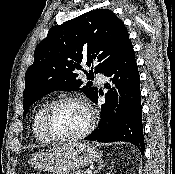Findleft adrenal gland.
I'll return each mask as SVG.
<instances>
[{"label": "left adrenal gland", "mask_w": 175, "mask_h": 174, "mask_svg": "<svg viewBox=\"0 0 175 174\" xmlns=\"http://www.w3.org/2000/svg\"><path fill=\"white\" fill-rule=\"evenodd\" d=\"M104 167L103 160H100L98 163V167L95 170L94 174H96L98 171H100Z\"/></svg>", "instance_id": "obj_1"}]
</instances>
